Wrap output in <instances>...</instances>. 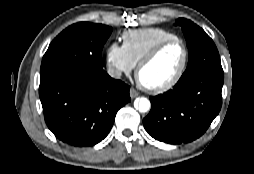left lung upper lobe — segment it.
<instances>
[{
    "mask_svg": "<svg viewBox=\"0 0 254 174\" xmlns=\"http://www.w3.org/2000/svg\"><path fill=\"white\" fill-rule=\"evenodd\" d=\"M175 25L182 27L189 51L188 65L179 82L207 73L223 74L218 50L204 30L184 18L177 19Z\"/></svg>",
    "mask_w": 254,
    "mask_h": 174,
    "instance_id": "obj_1",
    "label": "left lung upper lobe"
}]
</instances>
